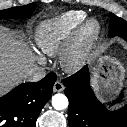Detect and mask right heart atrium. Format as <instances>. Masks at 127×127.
<instances>
[{
  "label": "right heart atrium",
  "instance_id": "right-heart-atrium-1",
  "mask_svg": "<svg viewBox=\"0 0 127 127\" xmlns=\"http://www.w3.org/2000/svg\"><path fill=\"white\" fill-rule=\"evenodd\" d=\"M37 58H38V60H39L40 62H43V61H44V58H43L41 55H39V54H37Z\"/></svg>",
  "mask_w": 127,
  "mask_h": 127
}]
</instances>
